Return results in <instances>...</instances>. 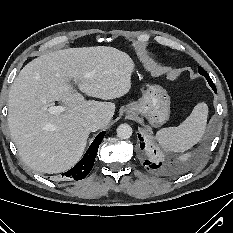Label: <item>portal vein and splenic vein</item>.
<instances>
[{"mask_svg":"<svg viewBox=\"0 0 233 233\" xmlns=\"http://www.w3.org/2000/svg\"><path fill=\"white\" fill-rule=\"evenodd\" d=\"M49 113L51 114H60L64 111L63 106H51L48 108Z\"/></svg>","mask_w":233,"mask_h":233,"instance_id":"18ae733b","label":"portal vein and splenic vein"}]
</instances>
